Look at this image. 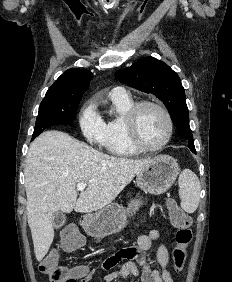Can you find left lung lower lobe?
<instances>
[{
    "mask_svg": "<svg viewBox=\"0 0 232 282\" xmlns=\"http://www.w3.org/2000/svg\"><path fill=\"white\" fill-rule=\"evenodd\" d=\"M189 149L196 154V151H195V146H190Z\"/></svg>",
    "mask_w": 232,
    "mask_h": 282,
    "instance_id": "obj_1",
    "label": "left lung lower lobe"
}]
</instances>
